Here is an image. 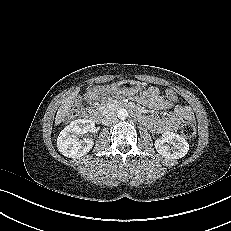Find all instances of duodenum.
<instances>
[{
    "instance_id": "obj_1",
    "label": "duodenum",
    "mask_w": 231,
    "mask_h": 231,
    "mask_svg": "<svg viewBox=\"0 0 231 231\" xmlns=\"http://www.w3.org/2000/svg\"><path fill=\"white\" fill-rule=\"evenodd\" d=\"M114 108L116 109H129L133 112V115L135 118H137L138 120H143V116L141 115V113H139L133 104L130 103H125V102H120L117 103ZM106 114V111H100L99 113H96L95 111H88V118L93 121V122H99L101 120V118Z\"/></svg>"
}]
</instances>
